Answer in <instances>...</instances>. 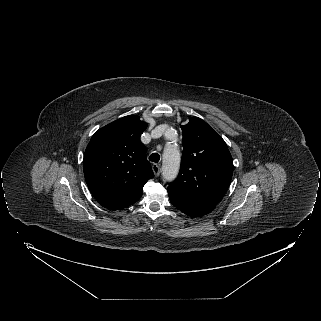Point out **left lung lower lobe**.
Returning <instances> with one entry per match:
<instances>
[{
    "label": "left lung lower lobe",
    "mask_w": 321,
    "mask_h": 321,
    "mask_svg": "<svg viewBox=\"0 0 321 321\" xmlns=\"http://www.w3.org/2000/svg\"><path fill=\"white\" fill-rule=\"evenodd\" d=\"M168 194L171 203L180 211L191 217L206 215L215 208L214 205L189 201L170 192H168Z\"/></svg>",
    "instance_id": "obj_1"
}]
</instances>
